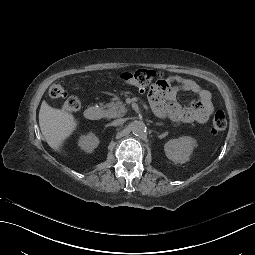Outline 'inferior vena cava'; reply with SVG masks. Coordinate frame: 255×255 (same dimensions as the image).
<instances>
[{
    "instance_id": "obj_1",
    "label": "inferior vena cava",
    "mask_w": 255,
    "mask_h": 255,
    "mask_svg": "<svg viewBox=\"0 0 255 255\" xmlns=\"http://www.w3.org/2000/svg\"><path fill=\"white\" fill-rule=\"evenodd\" d=\"M121 123H122L121 120H114V121L112 122V125H113V126H118V125H120Z\"/></svg>"
}]
</instances>
